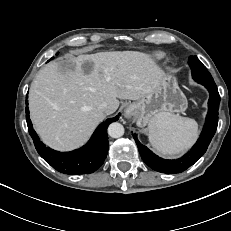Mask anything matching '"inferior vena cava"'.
Wrapping results in <instances>:
<instances>
[{
	"label": "inferior vena cava",
	"mask_w": 231,
	"mask_h": 231,
	"mask_svg": "<svg viewBox=\"0 0 231 231\" xmlns=\"http://www.w3.org/2000/svg\"><path fill=\"white\" fill-rule=\"evenodd\" d=\"M99 109H100L101 111H103L104 113H106V114H110V113H111V111H110L109 106H108L107 103H102V104L99 106Z\"/></svg>",
	"instance_id": "inferior-vena-cava-1"
}]
</instances>
